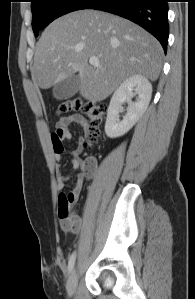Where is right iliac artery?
I'll return each instance as SVG.
<instances>
[{
	"instance_id": "1",
	"label": "right iliac artery",
	"mask_w": 195,
	"mask_h": 299,
	"mask_svg": "<svg viewBox=\"0 0 195 299\" xmlns=\"http://www.w3.org/2000/svg\"><path fill=\"white\" fill-rule=\"evenodd\" d=\"M75 258H76V254L73 253L70 256L69 262H68V273H71V271L73 270L74 264H75Z\"/></svg>"
}]
</instances>
